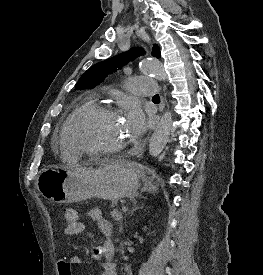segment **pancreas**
Wrapping results in <instances>:
<instances>
[{
	"label": "pancreas",
	"mask_w": 263,
	"mask_h": 275,
	"mask_svg": "<svg viewBox=\"0 0 263 275\" xmlns=\"http://www.w3.org/2000/svg\"><path fill=\"white\" fill-rule=\"evenodd\" d=\"M111 216L114 218V220L120 221L123 217V214L118 209H114L111 212Z\"/></svg>",
	"instance_id": "cf45deb5"
}]
</instances>
